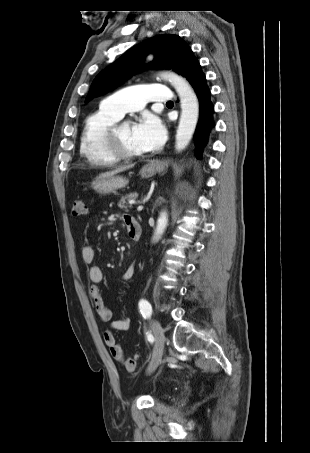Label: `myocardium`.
I'll list each match as a JSON object with an SVG mask.
<instances>
[{"instance_id": "obj_1", "label": "myocardium", "mask_w": 310, "mask_h": 453, "mask_svg": "<svg viewBox=\"0 0 310 453\" xmlns=\"http://www.w3.org/2000/svg\"><path fill=\"white\" fill-rule=\"evenodd\" d=\"M125 123L126 122H116L113 126L110 127L104 138L105 147L107 151L119 161H132L141 159L144 157L143 153L136 154L127 152L122 145L119 137V129Z\"/></svg>"}]
</instances>
